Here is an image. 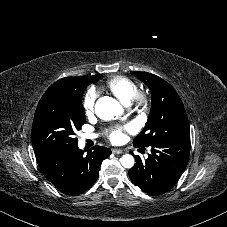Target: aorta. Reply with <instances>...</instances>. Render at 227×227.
Masks as SVG:
<instances>
[{
  "instance_id": "obj_1",
  "label": "aorta",
  "mask_w": 227,
  "mask_h": 227,
  "mask_svg": "<svg viewBox=\"0 0 227 227\" xmlns=\"http://www.w3.org/2000/svg\"><path fill=\"white\" fill-rule=\"evenodd\" d=\"M95 113L102 120H111L122 115L123 108L115 99L102 97L96 102ZM120 162L124 168H132L134 166V157L125 154L121 157Z\"/></svg>"
}]
</instances>
